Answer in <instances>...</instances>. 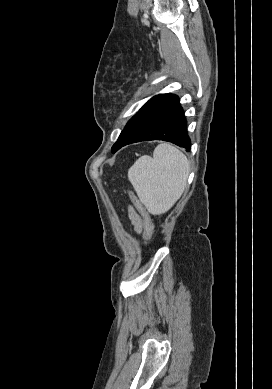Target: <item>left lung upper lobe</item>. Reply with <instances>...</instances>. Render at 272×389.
<instances>
[{
	"label": "left lung upper lobe",
	"mask_w": 272,
	"mask_h": 389,
	"mask_svg": "<svg viewBox=\"0 0 272 389\" xmlns=\"http://www.w3.org/2000/svg\"><path fill=\"white\" fill-rule=\"evenodd\" d=\"M144 106H145V105H144ZM144 106H143V107H144ZM143 107L140 109V111L143 109ZM140 111H139L137 114H135V115L128 121V123L126 124V126H125L124 130L121 132V134H120V136H119L117 142L113 145V147H112V149H111V151H112L113 153L116 152V147L118 146V143H119L120 139H121L122 136L126 133V131L130 128V126L132 125V123L136 120V118H137V116L139 115Z\"/></svg>",
	"instance_id": "1"
}]
</instances>
